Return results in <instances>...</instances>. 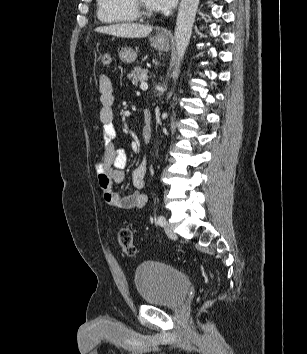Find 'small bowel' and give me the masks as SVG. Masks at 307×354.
I'll use <instances>...</instances> for the list:
<instances>
[{"mask_svg":"<svg viewBox=\"0 0 307 354\" xmlns=\"http://www.w3.org/2000/svg\"><path fill=\"white\" fill-rule=\"evenodd\" d=\"M101 109L99 119L102 124V154L97 165L98 182L103 196L108 205L115 209H140L147 203V195L141 190L145 185L147 162L143 160L131 173V181L135 190L125 196L114 191L113 185L120 184L124 180V172L127 165L126 152L116 144L117 132L114 125V90L110 78L101 73L99 86ZM145 141L151 139L150 127L143 129Z\"/></svg>","mask_w":307,"mask_h":354,"instance_id":"c3829d8e","label":"small bowel"}]
</instances>
